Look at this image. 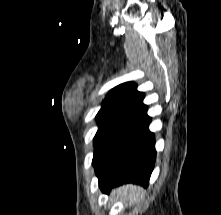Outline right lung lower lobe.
<instances>
[{
  "instance_id": "98d812e1",
  "label": "right lung lower lobe",
  "mask_w": 221,
  "mask_h": 215,
  "mask_svg": "<svg viewBox=\"0 0 221 215\" xmlns=\"http://www.w3.org/2000/svg\"><path fill=\"white\" fill-rule=\"evenodd\" d=\"M147 107L126 122L111 138L94 164L99 187L109 193L124 183L147 187L156 159L154 134L149 131L151 118Z\"/></svg>"
}]
</instances>
